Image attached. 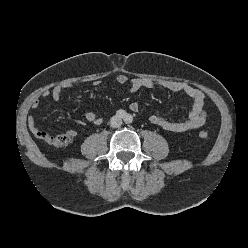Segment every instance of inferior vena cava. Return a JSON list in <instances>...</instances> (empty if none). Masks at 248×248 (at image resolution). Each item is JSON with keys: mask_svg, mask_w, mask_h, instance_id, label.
<instances>
[{"mask_svg": "<svg viewBox=\"0 0 248 248\" xmlns=\"http://www.w3.org/2000/svg\"><path fill=\"white\" fill-rule=\"evenodd\" d=\"M121 125H122V120L119 117L113 116L110 119V126L112 128H117V127H120Z\"/></svg>", "mask_w": 248, "mask_h": 248, "instance_id": "1", "label": "inferior vena cava"}]
</instances>
